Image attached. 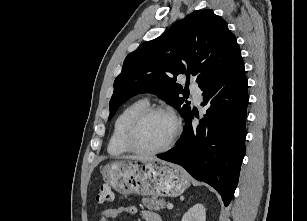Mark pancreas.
<instances>
[{"label":"pancreas","mask_w":307,"mask_h":221,"mask_svg":"<svg viewBox=\"0 0 307 221\" xmlns=\"http://www.w3.org/2000/svg\"><path fill=\"white\" fill-rule=\"evenodd\" d=\"M142 202L146 208L155 211L163 210L166 205V202L163 199H158L156 196L143 198Z\"/></svg>","instance_id":"obj_1"}]
</instances>
